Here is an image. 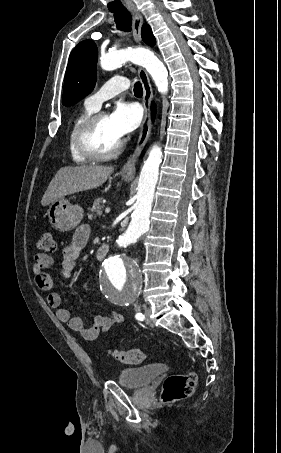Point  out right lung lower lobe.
<instances>
[{"mask_svg": "<svg viewBox=\"0 0 281 453\" xmlns=\"http://www.w3.org/2000/svg\"><path fill=\"white\" fill-rule=\"evenodd\" d=\"M151 110H152V117L154 118V115H155V105L154 104H152Z\"/></svg>", "mask_w": 281, "mask_h": 453, "instance_id": "98d812e1", "label": "right lung lower lobe"}]
</instances>
